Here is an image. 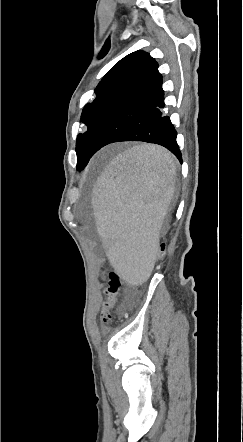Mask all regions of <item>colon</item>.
<instances>
[{"label": "colon", "mask_w": 243, "mask_h": 442, "mask_svg": "<svg viewBox=\"0 0 243 442\" xmlns=\"http://www.w3.org/2000/svg\"><path fill=\"white\" fill-rule=\"evenodd\" d=\"M169 247V242L167 237L161 238L160 246L157 251L152 253L153 260L155 262H162L167 256ZM104 278H106V283L108 284L104 295L105 298L102 302V308L100 313V323L102 326H107L112 318V312L116 306L117 300L119 298L122 285L126 283L124 278H120L118 272L114 267H108L103 273Z\"/></svg>", "instance_id": "1"}]
</instances>
